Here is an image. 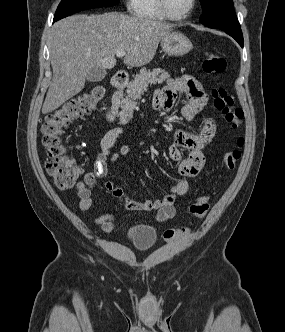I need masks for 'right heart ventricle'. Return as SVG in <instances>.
I'll list each match as a JSON object with an SVG mask.
<instances>
[{"label":"right heart ventricle","instance_id":"right-heart-ventricle-1","mask_svg":"<svg viewBox=\"0 0 285 332\" xmlns=\"http://www.w3.org/2000/svg\"><path fill=\"white\" fill-rule=\"evenodd\" d=\"M131 10L139 19L154 21L165 19L158 8L157 0H133Z\"/></svg>","mask_w":285,"mask_h":332}]
</instances>
